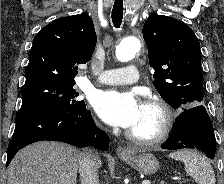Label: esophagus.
I'll list each match as a JSON object with an SVG mask.
<instances>
[{
	"label": "esophagus",
	"mask_w": 224,
	"mask_h": 184,
	"mask_svg": "<svg viewBox=\"0 0 224 184\" xmlns=\"http://www.w3.org/2000/svg\"><path fill=\"white\" fill-rule=\"evenodd\" d=\"M116 152L119 156H129L130 155V151L127 148L122 147V146H119L117 148Z\"/></svg>",
	"instance_id": "1"
}]
</instances>
